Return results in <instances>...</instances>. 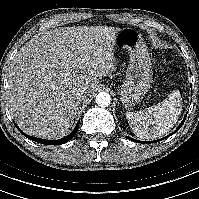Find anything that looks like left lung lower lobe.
Returning <instances> with one entry per match:
<instances>
[{
    "instance_id": "obj_1",
    "label": "left lung lower lobe",
    "mask_w": 199,
    "mask_h": 199,
    "mask_svg": "<svg viewBox=\"0 0 199 199\" xmlns=\"http://www.w3.org/2000/svg\"><path fill=\"white\" fill-rule=\"evenodd\" d=\"M185 119H186V116H185V118L183 119V121L181 122V124L178 126V128L175 130V132L181 128V126L183 125V123H184ZM175 132H173L172 134H174ZM172 134H171V135H172ZM167 137H168V136H166L165 138H167ZM128 139H130V140H132V141H134V142L143 143L142 141H138V140H135V139L130 138V137H128ZM163 139H164V138H163ZM160 140H162V139H160ZM160 140H157V141H151V143H153V142H158V141H160ZM148 143H150V142H148Z\"/></svg>"
}]
</instances>
